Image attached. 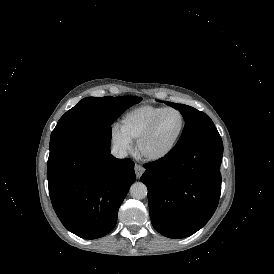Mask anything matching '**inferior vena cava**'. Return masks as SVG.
Segmentation results:
<instances>
[{"mask_svg":"<svg viewBox=\"0 0 274 274\" xmlns=\"http://www.w3.org/2000/svg\"><path fill=\"white\" fill-rule=\"evenodd\" d=\"M111 153L116 157V158H125L127 156V151L125 148L121 146H114L111 150Z\"/></svg>","mask_w":274,"mask_h":274,"instance_id":"602c4592","label":"inferior vena cava"}]
</instances>
